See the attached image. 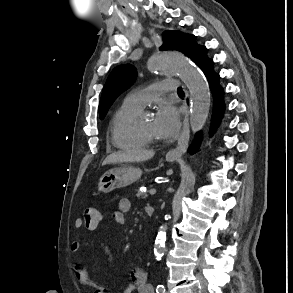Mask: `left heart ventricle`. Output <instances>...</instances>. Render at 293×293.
I'll return each instance as SVG.
<instances>
[{"instance_id": "1", "label": "left heart ventricle", "mask_w": 293, "mask_h": 293, "mask_svg": "<svg viewBox=\"0 0 293 293\" xmlns=\"http://www.w3.org/2000/svg\"><path fill=\"white\" fill-rule=\"evenodd\" d=\"M140 129L150 135L151 137L157 139L159 137L156 129H155V119L153 117L146 119L140 125Z\"/></svg>"}]
</instances>
